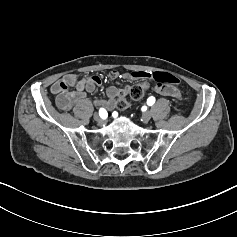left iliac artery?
I'll return each mask as SVG.
<instances>
[{"label": "left iliac artery", "instance_id": "1", "mask_svg": "<svg viewBox=\"0 0 237 237\" xmlns=\"http://www.w3.org/2000/svg\"><path fill=\"white\" fill-rule=\"evenodd\" d=\"M154 103H155V98L153 96H151L147 99V104L149 106H152Z\"/></svg>", "mask_w": 237, "mask_h": 237}]
</instances>
